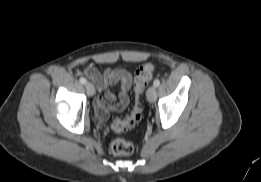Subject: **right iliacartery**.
I'll use <instances>...</instances> for the list:
<instances>
[{"label": "right iliac artery", "instance_id": "obj_1", "mask_svg": "<svg viewBox=\"0 0 261 182\" xmlns=\"http://www.w3.org/2000/svg\"><path fill=\"white\" fill-rule=\"evenodd\" d=\"M79 81H80L81 84H86V82H87L84 77H81V78L79 79Z\"/></svg>", "mask_w": 261, "mask_h": 182}]
</instances>
